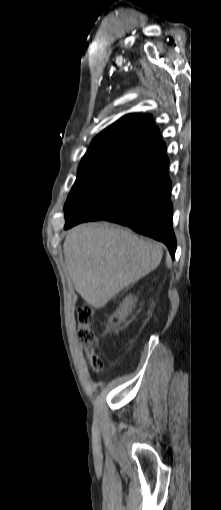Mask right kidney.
<instances>
[{"instance_id": "obj_1", "label": "right kidney", "mask_w": 221, "mask_h": 510, "mask_svg": "<svg viewBox=\"0 0 221 510\" xmlns=\"http://www.w3.org/2000/svg\"><path fill=\"white\" fill-rule=\"evenodd\" d=\"M133 301L131 298H126L123 305L121 306V310L118 311L120 317L125 316L131 309Z\"/></svg>"}]
</instances>
